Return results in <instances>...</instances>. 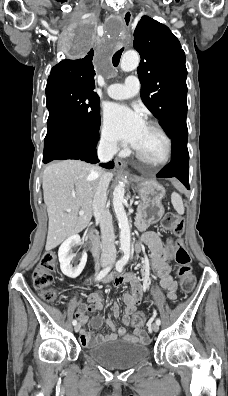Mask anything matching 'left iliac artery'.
<instances>
[{"mask_svg": "<svg viewBox=\"0 0 228 396\" xmlns=\"http://www.w3.org/2000/svg\"><path fill=\"white\" fill-rule=\"evenodd\" d=\"M129 254H130L129 251H125L124 256L116 263V270L118 272H121L123 270V267L125 266V264L129 259ZM156 324L158 325L161 324V320L159 318L156 319Z\"/></svg>", "mask_w": 228, "mask_h": 396, "instance_id": "1", "label": "left iliac artery"}]
</instances>
